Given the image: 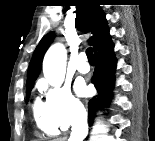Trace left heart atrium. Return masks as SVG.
<instances>
[{
    "mask_svg": "<svg viewBox=\"0 0 155 141\" xmlns=\"http://www.w3.org/2000/svg\"><path fill=\"white\" fill-rule=\"evenodd\" d=\"M75 90L79 95H85L87 91L85 84L81 81L75 84Z\"/></svg>",
    "mask_w": 155,
    "mask_h": 141,
    "instance_id": "39dd6f15",
    "label": "left heart atrium"
}]
</instances>
